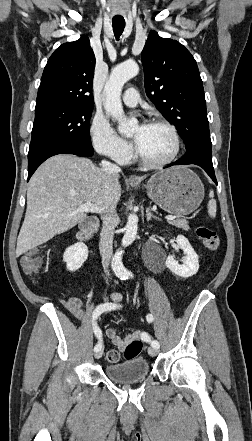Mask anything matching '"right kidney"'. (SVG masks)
<instances>
[{"label": "right kidney", "instance_id": "obj_1", "mask_svg": "<svg viewBox=\"0 0 252 441\" xmlns=\"http://www.w3.org/2000/svg\"><path fill=\"white\" fill-rule=\"evenodd\" d=\"M88 257V248L84 243L77 242L68 247L63 255V261L69 271L74 272L81 268Z\"/></svg>", "mask_w": 252, "mask_h": 441}]
</instances>
